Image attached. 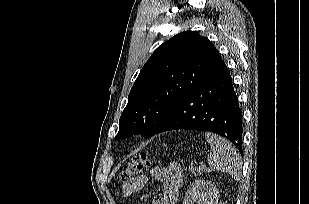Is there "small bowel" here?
Wrapping results in <instances>:
<instances>
[{
    "label": "small bowel",
    "instance_id": "1",
    "mask_svg": "<svg viewBox=\"0 0 309 204\" xmlns=\"http://www.w3.org/2000/svg\"><path fill=\"white\" fill-rule=\"evenodd\" d=\"M149 178L163 183V193L156 196L154 204H176L179 190L183 182L182 168L173 163L169 167H154L149 174L140 175L123 185V194L131 197L141 191L147 184Z\"/></svg>",
    "mask_w": 309,
    "mask_h": 204
}]
</instances>
